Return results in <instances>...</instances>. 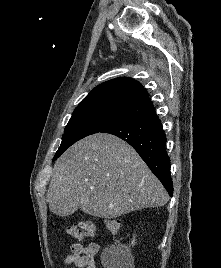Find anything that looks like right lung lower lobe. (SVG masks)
<instances>
[{
  "label": "right lung lower lobe",
  "instance_id": "obj_1",
  "mask_svg": "<svg viewBox=\"0 0 221 268\" xmlns=\"http://www.w3.org/2000/svg\"><path fill=\"white\" fill-rule=\"evenodd\" d=\"M128 142L161 181L169 195H173L170 158L166 151V136L156 113L124 121L105 131Z\"/></svg>",
  "mask_w": 221,
  "mask_h": 268
}]
</instances>
